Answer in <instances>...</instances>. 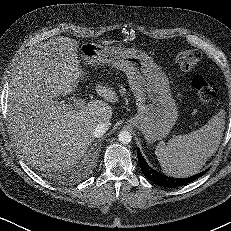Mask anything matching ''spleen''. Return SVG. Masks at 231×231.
<instances>
[{
  "label": "spleen",
  "mask_w": 231,
  "mask_h": 231,
  "mask_svg": "<svg viewBox=\"0 0 231 231\" xmlns=\"http://www.w3.org/2000/svg\"><path fill=\"white\" fill-rule=\"evenodd\" d=\"M225 115L221 109L201 128L175 136L167 145H158L155 155L163 172L176 178L199 173L219 147L225 128Z\"/></svg>",
  "instance_id": "3e777b00"
}]
</instances>
